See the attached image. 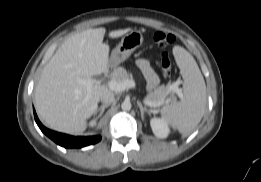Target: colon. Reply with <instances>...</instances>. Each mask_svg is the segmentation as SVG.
Here are the masks:
<instances>
[{
    "instance_id": "5ec220e1",
    "label": "colon",
    "mask_w": 261,
    "mask_h": 182,
    "mask_svg": "<svg viewBox=\"0 0 261 182\" xmlns=\"http://www.w3.org/2000/svg\"><path fill=\"white\" fill-rule=\"evenodd\" d=\"M153 40L155 44L160 47V48H166L171 46L175 38L172 34L163 32V31H157L155 32L153 36ZM160 67L162 69V72L165 77H170L171 76V60L170 57L167 53H162L161 58H160Z\"/></svg>"
}]
</instances>
